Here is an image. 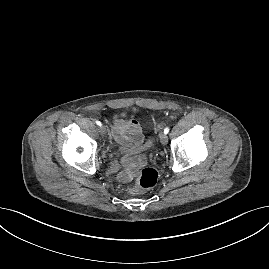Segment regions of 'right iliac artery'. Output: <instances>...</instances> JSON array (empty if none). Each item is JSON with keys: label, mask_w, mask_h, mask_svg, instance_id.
<instances>
[{"label": "right iliac artery", "mask_w": 269, "mask_h": 269, "mask_svg": "<svg viewBox=\"0 0 269 269\" xmlns=\"http://www.w3.org/2000/svg\"><path fill=\"white\" fill-rule=\"evenodd\" d=\"M96 124H97L98 126H102V123H101L100 121H96Z\"/></svg>", "instance_id": "82829eb1"}]
</instances>
